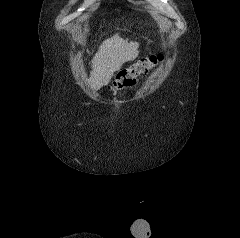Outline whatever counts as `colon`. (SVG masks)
Listing matches in <instances>:
<instances>
[{"label": "colon", "mask_w": 240, "mask_h": 238, "mask_svg": "<svg viewBox=\"0 0 240 238\" xmlns=\"http://www.w3.org/2000/svg\"><path fill=\"white\" fill-rule=\"evenodd\" d=\"M162 60L163 56L161 54L140 58L128 67L121 69L112 83L108 86V89L111 91H118L134 85L139 76L146 74Z\"/></svg>", "instance_id": "1"}]
</instances>
